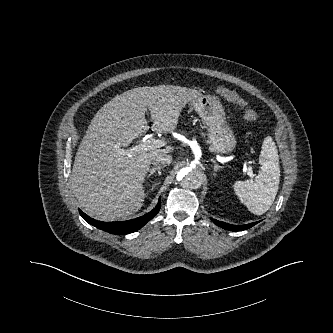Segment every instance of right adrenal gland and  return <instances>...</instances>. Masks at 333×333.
<instances>
[{
	"label": "right adrenal gland",
	"mask_w": 333,
	"mask_h": 333,
	"mask_svg": "<svg viewBox=\"0 0 333 333\" xmlns=\"http://www.w3.org/2000/svg\"><path fill=\"white\" fill-rule=\"evenodd\" d=\"M163 168V166H156V167H153L152 169H150V172H149V174H148V178H150L155 172H158V176H160L161 175V169ZM160 180H158L157 181V183H155L153 186H152V188H151V191L158 185V182H159Z\"/></svg>",
	"instance_id": "2a0ac1e0"
}]
</instances>
